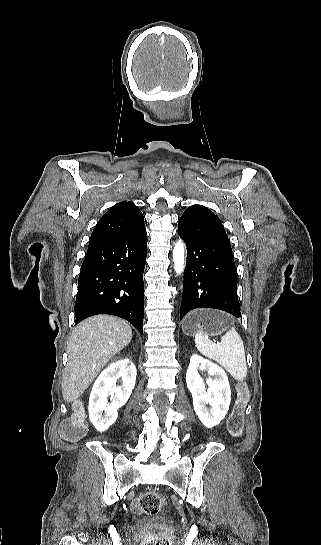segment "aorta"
<instances>
[{
  "instance_id": "obj_1",
  "label": "aorta",
  "mask_w": 321,
  "mask_h": 545,
  "mask_svg": "<svg viewBox=\"0 0 321 545\" xmlns=\"http://www.w3.org/2000/svg\"><path fill=\"white\" fill-rule=\"evenodd\" d=\"M174 269L177 274H181L185 267V245L179 240L175 243L173 249Z\"/></svg>"
}]
</instances>
